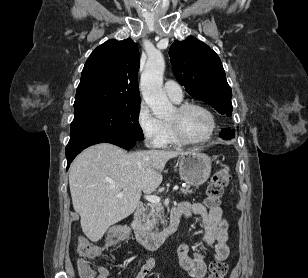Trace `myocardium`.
I'll return each mask as SVG.
<instances>
[{"mask_svg": "<svg viewBox=\"0 0 308 278\" xmlns=\"http://www.w3.org/2000/svg\"><path fill=\"white\" fill-rule=\"evenodd\" d=\"M190 108H197L200 109L202 111H204L209 119H210V123H211V127H210V131L208 133V135L202 139H192L190 137H188L180 128V126L172 121H167V123L169 124L174 136L181 142L184 144H191V145H197V144H203L208 142L209 140L212 139V137L214 136L215 132H216V128H217V122H216V118L214 113L205 105L200 104V103H196V102H185V103H181L179 105H177L175 107V109L177 110L178 113H183L186 110L190 109Z\"/></svg>", "mask_w": 308, "mask_h": 278, "instance_id": "obj_1", "label": "myocardium"}]
</instances>
